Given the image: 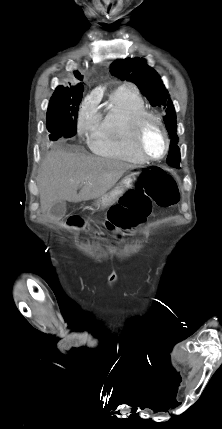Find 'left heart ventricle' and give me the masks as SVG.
<instances>
[{"instance_id": "left-heart-ventricle-1", "label": "left heart ventricle", "mask_w": 222, "mask_h": 429, "mask_svg": "<svg viewBox=\"0 0 222 429\" xmlns=\"http://www.w3.org/2000/svg\"><path fill=\"white\" fill-rule=\"evenodd\" d=\"M142 146L152 157H159L165 149V138L158 124L149 119L145 122L142 131Z\"/></svg>"}]
</instances>
